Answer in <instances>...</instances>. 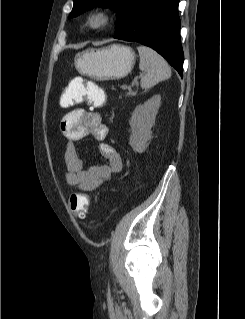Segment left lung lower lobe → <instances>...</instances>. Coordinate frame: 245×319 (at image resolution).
Listing matches in <instances>:
<instances>
[{"instance_id": "obj_1", "label": "left lung lower lobe", "mask_w": 245, "mask_h": 319, "mask_svg": "<svg viewBox=\"0 0 245 319\" xmlns=\"http://www.w3.org/2000/svg\"><path fill=\"white\" fill-rule=\"evenodd\" d=\"M179 0H140L122 30L113 37L138 42L156 50L183 74Z\"/></svg>"}]
</instances>
